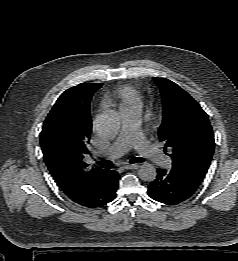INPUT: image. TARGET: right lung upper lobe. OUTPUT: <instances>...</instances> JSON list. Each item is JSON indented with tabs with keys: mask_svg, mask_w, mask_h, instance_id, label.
<instances>
[{
	"mask_svg": "<svg viewBox=\"0 0 238 261\" xmlns=\"http://www.w3.org/2000/svg\"><path fill=\"white\" fill-rule=\"evenodd\" d=\"M101 86L99 83H81L66 90L56 103L64 101L69 112L58 121L46 118L40 133L45 163L72 201L83 197L104 171L98 167L89 170L83 160L88 153L92 131L90 101Z\"/></svg>",
	"mask_w": 238,
	"mask_h": 261,
	"instance_id": "right-lung-upper-lobe-1",
	"label": "right lung upper lobe"
}]
</instances>
